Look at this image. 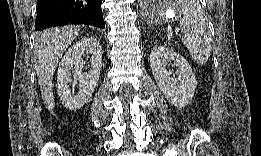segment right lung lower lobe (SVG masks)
Masks as SVG:
<instances>
[{"instance_id":"right-lung-lower-lobe-1","label":"right lung lower lobe","mask_w":261,"mask_h":156,"mask_svg":"<svg viewBox=\"0 0 261 156\" xmlns=\"http://www.w3.org/2000/svg\"><path fill=\"white\" fill-rule=\"evenodd\" d=\"M35 30L67 24L104 28L102 0H38Z\"/></svg>"}]
</instances>
